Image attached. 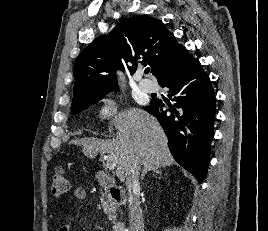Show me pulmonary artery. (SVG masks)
<instances>
[{"mask_svg":"<svg viewBox=\"0 0 268 231\" xmlns=\"http://www.w3.org/2000/svg\"><path fill=\"white\" fill-rule=\"evenodd\" d=\"M138 87L142 92L151 93L155 90V85L147 79L137 78Z\"/></svg>","mask_w":268,"mask_h":231,"instance_id":"obj_1","label":"pulmonary artery"}]
</instances>
